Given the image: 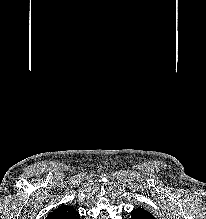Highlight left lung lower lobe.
<instances>
[{
  "instance_id": "0a47b994",
  "label": "left lung lower lobe",
  "mask_w": 206,
  "mask_h": 219,
  "mask_svg": "<svg viewBox=\"0 0 206 219\" xmlns=\"http://www.w3.org/2000/svg\"><path fill=\"white\" fill-rule=\"evenodd\" d=\"M131 219H155V217L143 208H136L131 213Z\"/></svg>"
}]
</instances>
